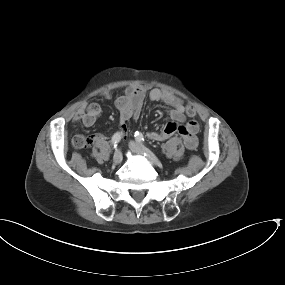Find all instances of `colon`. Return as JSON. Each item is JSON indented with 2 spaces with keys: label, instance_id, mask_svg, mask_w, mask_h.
<instances>
[{
  "label": "colon",
  "instance_id": "5ec220e1",
  "mask_svg": "<svg viewBox=\"0 0 285 285\" xmlns=\"http://www.w3.org/2000/svg\"><path fill=\"white\" fill-rule=\"evenodd\" d=\"M187 114L189 116H194L196 114V109L193 106L189 105L187 107ZM73 144L76 148L79 149L86 148L90 145V139L88 136L79 134L74 137Z\"/></svg>",
  "mask_w": 285,
  "mask_h": 285
}]
</instances>
